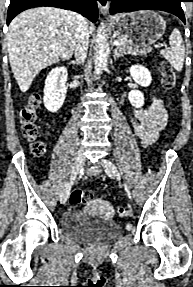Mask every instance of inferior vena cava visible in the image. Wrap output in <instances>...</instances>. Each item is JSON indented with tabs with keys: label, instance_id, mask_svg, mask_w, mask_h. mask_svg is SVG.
Returning <instances> with one entry per match:
<instances>
[{
	"label": "inferior vena cava",
	"instance_id": "1",
	"mask_svg": "<svg viewBox=\"0 0 193 287\" xmlns=\"http://www.w3.org/2000/svg\"><path fill=\"white\" fill-rule=\"evenodd\" d=\"M76 21L77 29L75 34L74 52L77 63L83 64L87 57L89 46L88 21L79 14L76 15Z\"/></svg>",
	"mask_w": 193,
	"mask_h": 287
}]
</instances>
